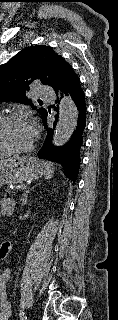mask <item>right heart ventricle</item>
<instances>
[{"label": "right heart ventricle", "instance_id": "obj_1", "mask_svg": "<svg viewBox=\"0 0 118 320\" xmlns=\"http://www.w3.org/2000/svg\"><path fill=\"white\" fill-rule=\"evenodd\" d=\"M5 155H6V153L0 149V158L5 156Z\"/></svg>", "mask_w": 118, "mask_h": 320}]
</instances>
